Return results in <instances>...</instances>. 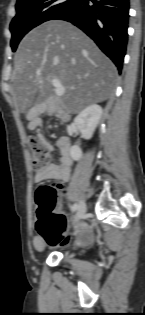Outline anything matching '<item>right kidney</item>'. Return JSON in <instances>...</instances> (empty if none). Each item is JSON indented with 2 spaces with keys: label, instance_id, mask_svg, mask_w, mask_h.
Instances as JSON below:
<instances>
[{
  "label": "right kidney",
  "instance_id": "right-kidney-1",
  "mask_svg": "<svg viewBox=\"0 0 145 315\" xmlns=\"http://www.w3.org/2000/svg\"><path fill=\"white\" fill-rule=\"evenodd\" d=\"M103 110L101 106L92 104L83 109L75 118L74 123L82 134L84 139H91L102 117ZM70 155L74 161L82 158V150L78 145L70 148Z\"/></svg>",
  "mask_w": 145,
  "mask_h": 315
}]
</instances>
